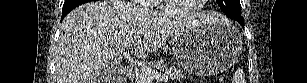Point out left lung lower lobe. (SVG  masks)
I'll list each match as a JSON object with an SVG mask.
<instances>
[{"mask_svg": "<svg viewBox=\"0 0 307 83\" xmlns=\"http://www.w3.org/2000/svg\"><path fill=\"white\" fill-rule=\"evenodd\" d=\"M240 23V25L244 28V20H236Z\"/></svg>", "mask_w": 307, "mask_h": 83, "instance_id": "1", "label": "left lung lower lobe"}]
</instances>
